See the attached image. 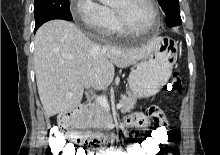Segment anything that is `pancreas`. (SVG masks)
<instances>
[{"mask_svg": "<svg viewBox=\"0 0 220 155\" xmlns=\"http://www.w3.org/2000/svg\"><path fill=\"white\" fill-rule=\"evenodd\" d=\"M120 103L123 104L121 112L131 111L136 104V98L131 95H121ZM107 112L100 104H90L83 118V126L88 129H102L105 125Z\"/></svg>", "mask_w": 220, "mask_h": 155, "instance_id": "obj_1", "label": "pancreas"}]
</instances>
